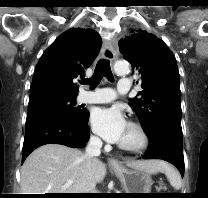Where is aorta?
Returning a JSON list of instances; mask_svg holds the SVG:
<instances>
[{
    "label": "aorta",
    "instance_id": "aorta-1",
    "mask_svg": "<svg viewBox=\"0 0 208 198\" xmlns=\"http://www.w3.org/2000/svg\"><path fill=\"white\" fill-rule=\"evenodd\" d=\"M114 71L117 75L123 76L129 71V64L125 61H117L114 65Z\"/></svg>",
    "mask_w": 208,
    "mask_h": 198
}]
</instances>
